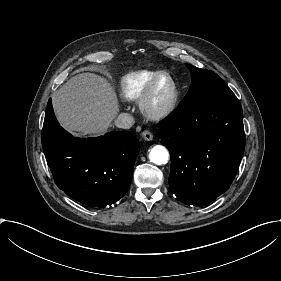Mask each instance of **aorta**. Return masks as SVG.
<instances>
[{"label":"aorta","mask_w":281,"mask_h":281,"mask_svg":"<svg viewBox=\"0 0 281 281\" xmlns=\"http://www.w3.org/2000/svg\"><path fill=\"white\" fill-rule=\"evenodd\" d=\"M149 160L156 165L166 164L169 160V152L163 145H155L149 152Z\"/></svg>","instance_id":"aorta-1"}]
</instances>
